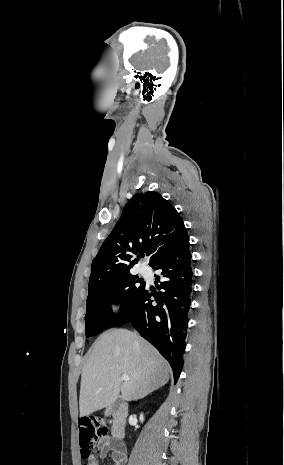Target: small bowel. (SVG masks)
Segmentation results:
<instances>
[{"label": "small bowel", "mask_w": 284, "mask_h": 465, "mask_svg": "<svg viewBox=\"0 0 284 465\" xmlns=\"http://www.w3.org/2000/svg\"><path fill=\"white\" fill-rule=\"evenodd\" d=\"M110 441L109 438H103L100 440L97 445L95 446V453H99V455L104 458L107 456V454L110 452ZM112 460L114 465H122L123 464V457L122 455L117 452L113 451L112 452ZM88 465H97L94 457H92L88 463Z\"/></svg>", "instance_id": "small-bowel-1"}]
</instances>
